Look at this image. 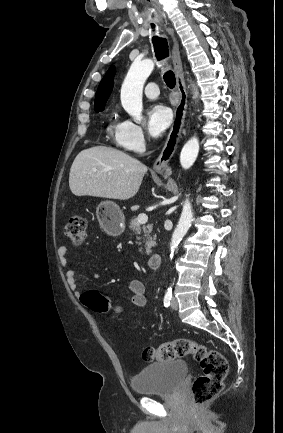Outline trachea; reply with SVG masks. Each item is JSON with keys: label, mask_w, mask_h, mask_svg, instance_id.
<instances>
[{"label": "trachea", "mask_w": 283, "mask_h": 433, "mask_svg": "<svg viewBox=\"0 0 283 433\" xmlns=\"http://www.w3.org/2000/svg\"><path fill=\"white\" fill-rule=\"evenodd\" d=\"M152 29H155V26L152 25ZM155 56L158 61H162L169 56V46L166 38H160L159 36H153L152 38ZM164 81L169 88H174L176 85V78L174 72L172 70H168L163 75Z\"/></svg>", "instance_id": "trachea-1"}]
</instances>
